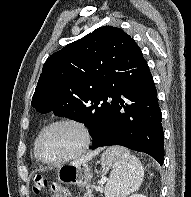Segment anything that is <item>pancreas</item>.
<instances>
[{"label": "pancreas", "mask_w": 191, "mask_h": 197, "mask_svg": "<svg viewBox=\"0 0 191 197\" xmlns=\"http://www.w3.org/2000/svg\"><path fill=\"white\" fill-rule=\"evenodd\" d=\"M83 197H94V196L91 192L87 191V192L84 193Z\"/></svg>", "instance_id": "cf45deb5"}]
</instances>
